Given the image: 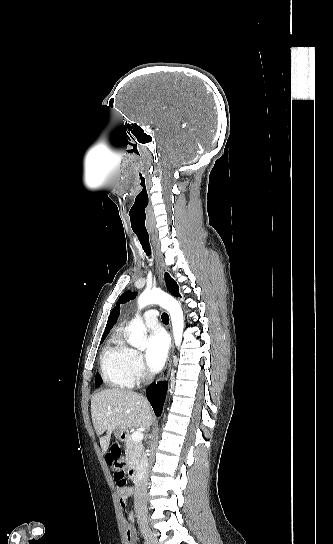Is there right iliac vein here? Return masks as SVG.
Listing matches in <instances>:
<instances>
[{"instance_id": "right-iliac-vein-1", "label": "right iliac vein", "mask_w": 333, "mask_h": 544, "mask_svg": "<svg viewBox=\"0 0 333 544\" xmlns=\"http://www.w3.org/2000/svg\"><path fill=\"white\" fill-rule=\"evenodd\" d=\"M140 529L147 544H159L155 534L151 531L146 523H141Z\"/></svg>"}]
</instances>
